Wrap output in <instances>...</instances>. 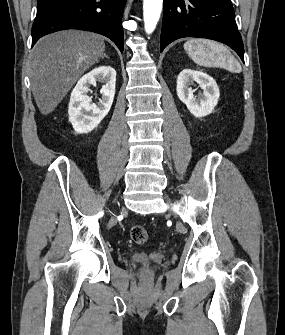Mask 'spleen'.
<instances>
[{"label": "spleen", "mask_w": 285, "mask_h": 335, "mask_svg": "<svg viewBox=\"0 0 285 335\" xmlns=\"http://www.w3.org/2000/svg\"><path fill=\"white\" fill-rule=\"evenodd\" d=\"M184 50L187 52L189 58L198 64V66H205V68H213V66H220V68H232L238 66L241 72V66L227 48L213 42V40H202V38H189L188 42L184 44Z\"/></svg>", "instance_id": "spleen-1"}]
</instances>
